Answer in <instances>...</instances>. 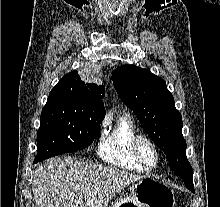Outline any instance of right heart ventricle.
Masks as SVG:
<instances>
[{"label":"right heart ventricle","mask_w":220,"mask_h":207,"mask_svg":"<svg viewBox=\"0 0 220 207\" xmlns=\"http://www.w3.org/2000/svg\"><path fill=\"white\" fill-rule=\"evenodd\" d=\"M137 129L132 119L124 114L108 128L99 144L98 154L107 163L132 171L145 168L137 162L132 153V140Z\"/></svg>","instance_id":"1"}]
</instances>
